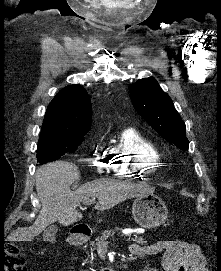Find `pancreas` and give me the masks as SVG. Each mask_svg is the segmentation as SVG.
<instances>
[{"label":"pancreas","instance_id":"obj_1","mask_svg":"<svg viewBox=\"0 0 221 271\" xmlns=\"http://www.w3.org/2000/svg\"><path fill=\"white\" fill-rule=\"evenodd\" d=\"M117 229H105L103 231L101 237H95V240H87V245H99V242H110V235H115ZM123 235V233H120ZM132 242H136V244H148L149 241H143V237H132ZM87 259H83V263H85ZM93 263V261H90Z\"/></svg>","mask_w":221,"mask_h":271}]
</instances>
